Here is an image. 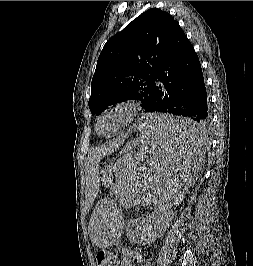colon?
<instances>
[{"label":"colon","mask_w":253,"mask_h":266,"mask_svg":"<svg viewBox=\"0 0 253 266\" xmlns=\"http://www.w3.org/2000/svg\"><path fill=\"white\" fill-rule=\"evenodd\" d=\"M95 258L97 266H118L119 263L117 256L108 251H99Z\"/></svg>","instance_id":"obj_1"}]
</instances>
